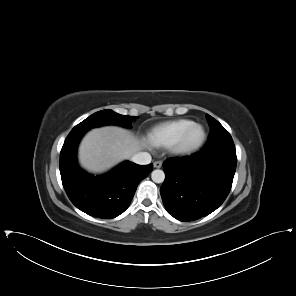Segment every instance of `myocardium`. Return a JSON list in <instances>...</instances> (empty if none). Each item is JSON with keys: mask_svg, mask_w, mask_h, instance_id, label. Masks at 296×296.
Instances as JSON below:
<instances>
[{"mask_svg": "<svg viewBox=\"0 0 296 296\" xmlns=\"http://www.w3.org/2000/svg\"><path fill=\"white\" fill-rule=\"evenodd\" d=\"M192 128L200 129V137L194 145L184 146V139ZM205 138L206 131L203 125L193 122L175 138V140L168 146V148L170 153L174 156H189L196 153L202 147Z\"/></svg>", "mask_w": 296, "mask_h": 296, "instance_id": "myocardium-1", "label": "myocardium"}]
</instances>
